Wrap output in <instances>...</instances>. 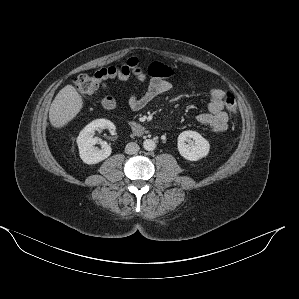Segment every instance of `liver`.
<instances>
[{
  "instance_id": "liver-1",
  "label": "liver",
  "mask_w": 299,
  "mask_h": 299,
  "mask_svg": "<svg viewBox=\"0 0 299 299\" xmlns=\"http://www.w3.org/2000/svg\"><path fill=\"white\" fill-rule=\"evenodd\" d=\"M83 107V99L72 85H66L54 98L49 109V120L54 128L67 125Z\"/></svg>"
}]
</instances>
